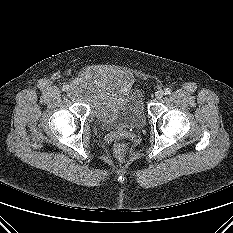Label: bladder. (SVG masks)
I'll return each mask as SVG.
<instances>
[{
  "label": "bladder",
  "instance_id": "obj_1",
  "mask_svg": "<svg viewBox=\"0 0 233 233\" xmlns=\"http://www.w3.org/2000/svg\"><path fill=\"white\" fill-rule=\"evenodd\" d=\"M90 106V117L106 129H139L146 122L141 91L127 72L91 68L72 85Z\"/></svg>",
  "mask_w": 233,
  "mask_h": 233
}]
</instances>
